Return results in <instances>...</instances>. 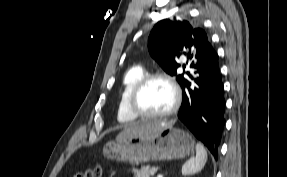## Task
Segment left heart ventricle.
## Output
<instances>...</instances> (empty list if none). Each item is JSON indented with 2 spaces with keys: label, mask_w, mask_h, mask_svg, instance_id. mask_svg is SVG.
Instances as JSON below:
<instances>
[{
  "label": "left heart ventricle",
  "mask_w": 287,
  "mask_h": 177,
  "mask_svg": "<svg viewBox=\"0 0 287 177\" xmlns=\"http://www.w3.org/2000/svg\"><path fill=\"white\" fill-rule=\"evenodd\" d=\"M173 104V93L164 81L154 80L150 82L138 97L139 108L152 114L167 111Z\"/></svg>",
  "instance_id": "b2bd125f"
}]
</instances>
